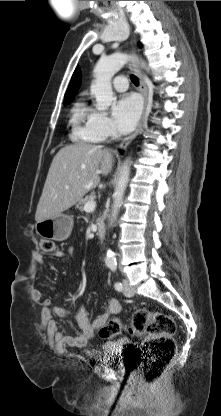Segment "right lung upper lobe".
<instances>
[{"label": "right lung upper lobe", "mask_w": 221, "mask_h": 416, "mask_svg": "<svg viewBox=\"0 0 221 416\" xmlns=\"http://www.w3.org/2000/svg\"><path fill=\"white\" fill-rule=\"evenodd\" d=\"M80 81H81V74H80L79 69L77 68L72 76L70 85L68 87V90L64 98V101H70V102L72 101L73 97L78 91V88L80 86Z\"/></svg>", "instance_id": "1"}]
</instances>
